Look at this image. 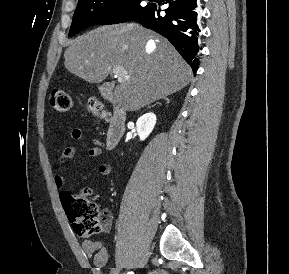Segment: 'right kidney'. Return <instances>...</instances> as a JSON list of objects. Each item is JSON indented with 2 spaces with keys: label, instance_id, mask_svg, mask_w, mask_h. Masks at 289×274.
I'll return each mask as SVG.
<instances>
[{
  "label": "right kidney",
  "instance_id": "obj_1",
  "mask_svg": "<svg viewBox=\"0 0 289 274\" xmlns=\"http://www.w3.org/2000/svg\"><path fill=\"white\" fill-rule=\"evenodd\" d=\"M155 124L156 115L152 112L146 113L138 118L136 128L141 141L145 140L149 136Z\"/></svg>",
  "mask_w": 289,
  "mask_h": 274
}]
</instances>
